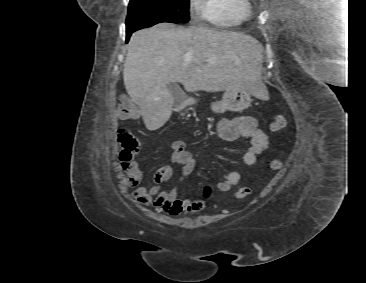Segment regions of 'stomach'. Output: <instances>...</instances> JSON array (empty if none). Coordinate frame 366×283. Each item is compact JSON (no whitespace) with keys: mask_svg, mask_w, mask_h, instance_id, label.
Wrapping results in <instances>:
<instances>
[{"mask_svg":"<svg viewBox=\"0 0 366 283\" xmlns=\"http://www.w3.org/2000/svg\"><path fill=\"white\" fill-rule=\"evenodd\" d=\"M251 102V92L249 90L233 88L226 90L223 99L212 103L211 108L215 113L222 114L228 110L238 111L247 108Z\"/></svg>","mask_w":366,"mask_h":283,"instance_id":"0dacf381","label":"stomach"}]
</instances>
